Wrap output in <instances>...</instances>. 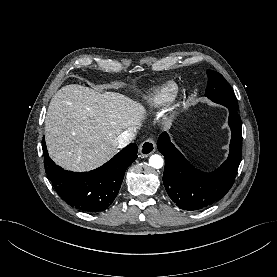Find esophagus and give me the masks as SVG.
<instances>
[{"mask_svg":"<svg viewBox=\"0 0 277 277\" xmlns=\"http://www.w3.org/2000/svg\"><path fill=\"white\" fill-rule=\"evenodd\" d=\"M156 149V142L152 138L143 141L139 147L140 157H147Z\"/></svg>","mask_w":277,"mask_h":277,"instance_id":"1","label":"esophagus"}]
</instances>
